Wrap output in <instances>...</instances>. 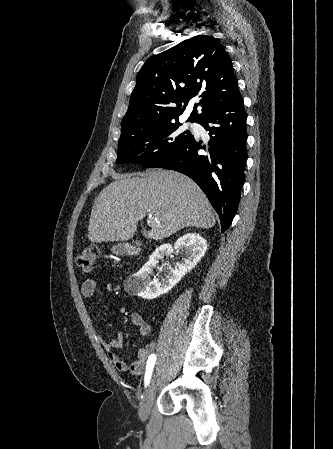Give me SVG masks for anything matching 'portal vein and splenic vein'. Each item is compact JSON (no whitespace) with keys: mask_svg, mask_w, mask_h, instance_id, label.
<instances>
[{"mask_svg":"<svg viewBox=\"0 0 333 449\" xmlns=\"http://www.w3.org/2000/svg\"><path fill=\"white\" fill-rule=\"evenodd\" d=\"M148 217L151 218V217H152V214H149Z\"/></svg>","mask_w":333,"mask_h":449,"instance_id":"18ae733b","label":"portal vein and splenic vein"}]
</instances>
